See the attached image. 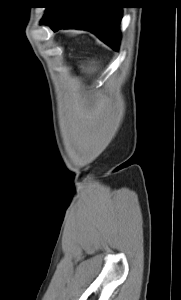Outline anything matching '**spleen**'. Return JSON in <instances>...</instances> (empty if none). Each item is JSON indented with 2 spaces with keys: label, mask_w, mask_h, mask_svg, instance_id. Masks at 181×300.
I'll return each mask as SVG.
<instances>
[{
  "label": "spleen",
  "mask_w": 181,
  "mask_h": 300,
  "mask_svg": "<svg viewBox=\"0 0 181 300\" xmlns=\"http://www.w3.org/2000/svg\"><path fill=\"white\" fill-rule=\"evenodd\" d=\"M89 73L95 71V69L93 67H89L88 69H86Z\"/></svg>",
  "instance_id": "obj_1"
}]
</instances>
